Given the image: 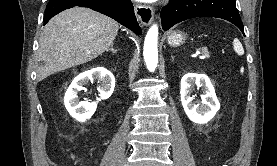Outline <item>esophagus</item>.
I'll return each mask as SVG.
<instances>
[{
	"label": "esophagus",
	"instance_id": "esophagus-1",
	"mask_svg": "<svg viewBox=\"0 0 277 166\" xmlns=\"http://www.w3.org/2000/svg\"><path fill=\"white\" fill-rule=\"evenodd\" d=\"M134 9H135V13H136L138 21L143 26H148L151 24V22L153 21V17H154L153 7L135 4Z\"/></svg>",
	"mask_w": 277,
	"mask_h": 166
}]
</instances>
